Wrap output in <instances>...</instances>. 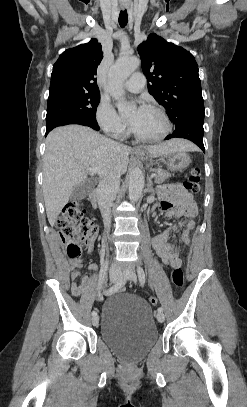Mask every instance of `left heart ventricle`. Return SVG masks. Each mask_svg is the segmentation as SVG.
<instances>
[{
	"mask_svg": "<svg viewBox=\"0 0 247 407\" xmlns=\"http://www.w3.org/2000/svg\"><path fill=\"white\" fill-rule=\"evenodd\" d=\"M132 126L140 136L145 138L158 137L165 130V123L162 117L157 112L146 108Z\"/></svg>",
	"mask_w": 247,
	"mask_h": 407,
	"instance_id": "obj_1",
	"label": "left heart ventricle"
}]
</instances>
